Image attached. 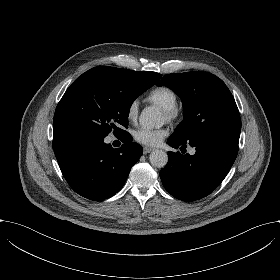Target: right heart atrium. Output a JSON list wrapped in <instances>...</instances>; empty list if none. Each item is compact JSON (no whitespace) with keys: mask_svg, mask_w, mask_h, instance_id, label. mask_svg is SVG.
Instances as JSON below:
<instances>
[{"mask_svg":"<svg viewBox=\"0 0 280 280\" xmlns=\"http://www.w3.org/2000/svg\"><path fill=\"white\" fill-rule=\"evenodd\" d=\"M138 103L131 101L126 108V118L128 121L134 122L137 119Z\"/></svg>","mask_w":280,"mask_h":280,"instance_id":"d8ad5b80","label":"right heart atrium"}]
</instances>
